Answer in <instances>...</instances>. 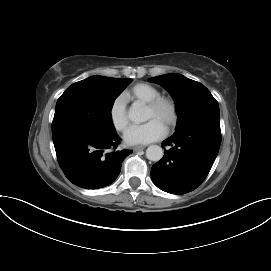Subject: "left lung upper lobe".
<instances>
[{
  "instance_id": "obj_1",
  "label": "left lung upper lobe",
  "mask_w": 271,
  "mask_h": 271,
  "mask_svg": "<svg viewBox=\"0 0 271 271\" xmlns=\"http://www.w3.org/2000/svg\"><path fill=\"white\" fill-rule=\"evenodd\" d=\"M149 81L163 86L176 102V130L199 122H220L219 106L209 90L181 74H166Z\"/></svg>"
}]
</instances>
